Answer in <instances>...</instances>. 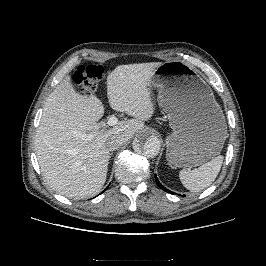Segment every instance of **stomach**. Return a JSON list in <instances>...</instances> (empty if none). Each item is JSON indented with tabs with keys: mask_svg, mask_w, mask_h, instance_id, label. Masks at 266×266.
<instances>
[{
	"mask_svg": "<svg viewBox=\"0 0 266 266\" xmlns=\"http://www.w3.org/2000/svg\"><path fill=\"white\" fill-rule=\"evenodd\" d=\"M149 87L159 90V105L173 130L166 139L169 164L191 168L221 152L227 137L224 114L195 68L179 60L164 62Z\"/></svg>",
	"mask_w": 266,
	"mask_h": 266,
	"instance_id": "0dacf381",
	"label": "stomach"
}]
</instances>
